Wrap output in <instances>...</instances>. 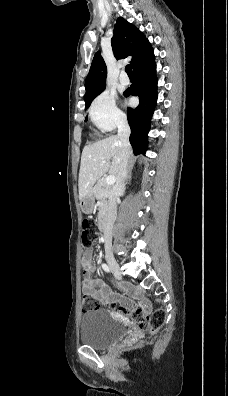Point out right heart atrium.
<instances>
[{"instance_id": "obj_1", "label": "right heart atrium", "mask_w": 228, "mask_h": 396, "mask_svg": "<svg viewBox=\"0 0 228 396\" xmlns=\"http://www.w3.org/2000/svg\"><path fill=\"white\" fill-rule=\"evenodd\" d=\"M89 115L94 126L109 132L125 122V116L117 107L115 96L104 91L97 95L89 107Z\"/></svg>"}]
</instances>
